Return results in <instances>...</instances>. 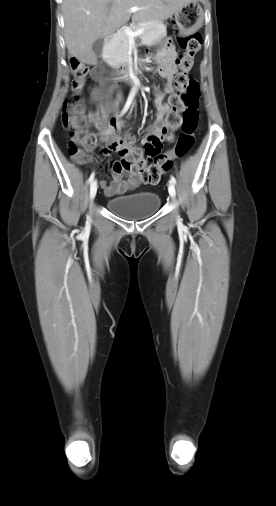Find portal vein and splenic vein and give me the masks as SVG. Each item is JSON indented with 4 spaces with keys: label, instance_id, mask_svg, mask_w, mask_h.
<instances>
[{
    "label": "portal vein and splenic vein",
    "instance_id": "1",
    "mask_svg": "<svg viewBox=\"0 0 276 506\" xmlns=\"http://www.w3.org/2000/svg\"><path fill=\"white\" fill-rule=\"evenodd\" d=\"M140 9H141V8L134 6V7H131V8L129 9V12H130V13H134V12H137L138 10H140ZM124 31H125V33H126L128 36H130V37H135V36H139V35H141V34L144 32V29H143V28H141V29H137V30L133 31V30H132V29H130L129 27H126V28L124 29Z\"/></svg>",
    "mask_w": 276,
    "mask_h": 506
}]
</instances>
